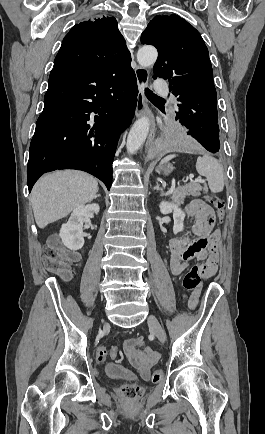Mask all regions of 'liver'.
<instances>
[{
  "mask_svg": "<svg viewBox=\"0 0 265 434\" xmlns=\"http://www.w3.org/2000/svg\"><path fill=\"white\" fill-rule=\"evenodd\" d=\"M98 190L96 178L84 172L64 170L46 174L36 182L30 198L38 228H46L77 206L92 202Z\"/></svg>",
  "mask_w": 265,
  "mask_h": 434,
  "instance_id": "6515ba94",
  "label": "liver"
}]
</instances>
